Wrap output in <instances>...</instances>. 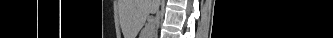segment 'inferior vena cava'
Here are the masks:
<instances>
[{"label":"inferior vena cava","instance_id":"obj_1","mask_svg":"<svg viewBox=\"0 0 333 38\" xmlns=\"http://www.w3.org/2000/svg\"><path fill=\"white\" fill-rule=\"evenodd\" d=\"M159 23V14H158V16H157V18H156V20H155V24H158ZM154 33V32H153Z\"/></svg>","mask_w":333,"mask_h":38}]
</instances>
